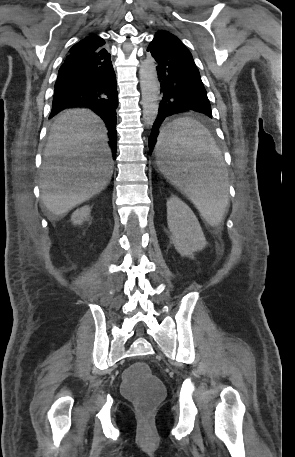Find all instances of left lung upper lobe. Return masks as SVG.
<instances>
[{
  "label": "left lung upper lobe",
  "instance_id": "5c2ea615",
  "mask_svg": "<svg viewBox=\"0 0 295 457\" xmlns=\"http://www.w3.org/2000/svg\"><path fill=\"white\" fill-rule=\"evenodd\" d=\"M154 38L159 39L165 43H168V44L180 49L181 51L191 55L188 48L178 39V37H176L174 34L168 32V31L160 30L154 35Z\"/></svg>",
  "mask_w": 295,
  "mask_h": 457
}]
</instances>
